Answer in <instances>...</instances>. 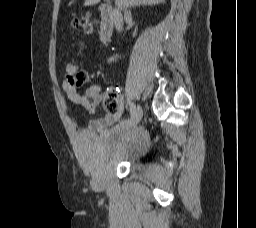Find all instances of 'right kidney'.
<instances>
[{
  "label": "right kidney",
  "mask_w": 256,
  "mask_h": 228,
  "mask_svg": "<svg viewBox=\"0 0 256 228\" xmlns=\"http://www.w3.org/2000/svg\"><path fill=\"white\" fill-rule=\"evenodd\" d=\"M116 59H117V56L111 57V58L108 60V62L111 63V62L115 61Z\"/></svg>",
  "instance_id": "obj_1"
}]
</instances>
